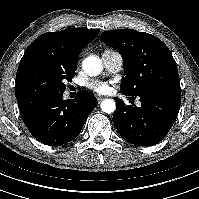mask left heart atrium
<instances>
[{"label":"left heart atrium","instance_id":"left-heart-atrium-1","mask_svg":"<svg viewBox=\"0 0 199 199\" xmlns=\"http://www.w3.org/2000/svg\"><path fill=\"white\" fill-rule=\"evenodd\" d=\"M86 87L99 94H105L110 91V83L98 79L89 80L86 83Z\"/></svg>","mask_w":199,"mask_h":199}]
</instances>
